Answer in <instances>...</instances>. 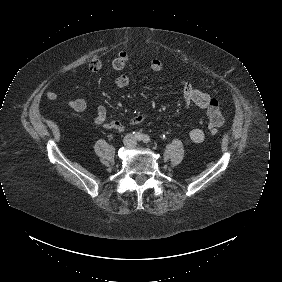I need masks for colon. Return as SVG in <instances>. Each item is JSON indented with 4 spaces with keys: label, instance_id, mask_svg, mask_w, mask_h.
<instances>
[{
    "label": "colon",
    "instance_id": "1",
    "mask_svg": "<svg viewBox=\"0 0 282 282\" xmlns=\"http://www.w3.org/2000/svg\"><path fill=\"white\" fill-rule=\"evenodd\" d=\"M207 126L212 132L219 130L224 123L221 107L217 100L211 99L206 108Z\"/></svg>",
    "mask_w": 282,
    "mask_h": 282
}]
</instances>
